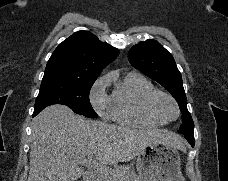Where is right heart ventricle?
Segmentation results:
<instances>
[{
	"mask_svg": "<svg viewBox=\"0 0 228 181\" xmlns=\"http://www.w3.org/2000/svg\"><path fill=\"white\" fill-rule=\"evenodd\" d=\"M104 86H113L111 95V117L122 124L157 126L160 121L148 118L142 109L144 96L155 90L152 83L135 72H110L103 81Z\"/></svg>",
	"mask_w": 228,
	"mask_h": 181,
	"instance_id": "right-heart-ventricle-1",
	"label": "right heart ventricle"
}]
</instances>
